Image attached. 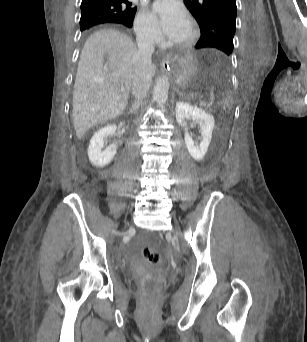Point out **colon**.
Here are the masks:
<instances>
[{
  "label": "colon",
  "mask_w": 307,
  "mask_h": 342,
  "mask_svg": "<svg viewBox=\"0 0 307 342\" xmlns=\"http://www.w3.org/2000/svg\"><path fill=\"white\" fill-rule=\"evenodd\" d=\"M225 128L224 125L220 124L219 129L223 130ZM142 254L143 257L153 264L154 268H163L164 263L161 261V255L156 252L155 250H152L150 246H143L142 248ZM145 300L146 301H152L153 300V295L152 294H146L145 295Z\"/></svg>",
  "instance_id": "5ec220e1"
}]
</instances>
